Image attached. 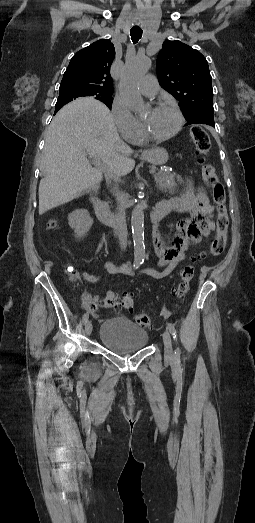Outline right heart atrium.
<instances>
[{"label": "right heart atrium", "instance_id": "1", "mask_svg": "<svg viewBox=\"0 0 255 523\" xmlns=\"http://www.w3.org/2000/svg\"><path fill=\"white\" fill-rule=\"evenodd\" d=\"M110 115L124 140H130L136 136L139 131V122L120 97L114 98L110 108Z\"/></svg>", "mask_w": 255, "mask_h": 523}]
</instances>
